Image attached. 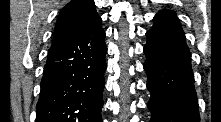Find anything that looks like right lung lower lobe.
Returning a JSON list of instances; mask_svg holds the SVG:
<instances>
[{
  "instance_id": "1",
  "label": "right lung lower lobe",
  "mask_w": 221,
  "mask_h": 122,
  "mask_svg": "<svg viewBox=\"0 0 221 122\" xmlns=\"http://www.w3.org/2000/svg\"><path fill=\"white\" fill-rule=\"evenodd\" d=\"M104 39L100 22L50 49L35 122H102Z\"/></svg>"
}]
</instances>
